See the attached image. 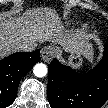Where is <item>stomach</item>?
<instances>
[{"label": "stomach", "mask_w": 108, "mask_h": 108, "mask_svg": "<svg viewBox=\"0 0 108 108\" xmlns=\"http://www.w3.org/2000/svg\"><path fill=\"white\" fill-rule=\"evenodd\" d=\"M84 55L78 52H69L68 64L73 68H80L83 64Z\"/></svg>", "instance_id": "stomach-1"}]
</instances>
